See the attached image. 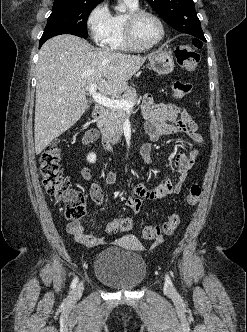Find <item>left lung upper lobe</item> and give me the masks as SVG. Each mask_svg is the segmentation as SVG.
<instances>
[{"label":"left lung upper lobe","mask_w":247,"mask_h":332,"mask_svg":"<svg viewBox=\"0 0 247 332\" xmlns=\"http://www.w3.org/2000/svg\"><path fill=\"white\" fill-rule=\"evenodd\" d=\"M174 29L205 40L193 0H146Z\"/></svg>","instance_id":"obj_1"}]
</instances>
